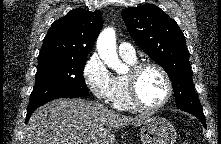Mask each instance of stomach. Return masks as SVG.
Here are the masks:
<instances>
[{"instance_id": "1", "label": "stomach", "mask_w": 221, "mask_h": 144, "mask_svg": "<svg viewBox=\"0 0 221 144\" xmlns=\"http://www.w3.org/2000/svg\"><path fill=\"white\" fill-rule=\"evenodd\" d=\"M140 138L143 144H174L177 134L172 123L163 117L155 116L143 123Z\"/></svg>"}]
</instances>
